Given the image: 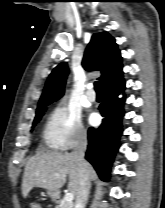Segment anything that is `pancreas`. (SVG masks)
Masks as SVG:
<instances>
[{
	"instance_id": "pancreas-1",
	"label": "pancreas",
	"mask_w": 165,
	"mask_h": 208,
	"mask_svg": "<svg viewBox=\"0 0 165 208\" xmlns=\"http://www.w3.org/2000/svg\"><path fill=\"white\" fill-rule=\"evenodd\" d=\"M55 208H72V204L63 201L60 202Z\"/></svg>"
}]
</instances>
